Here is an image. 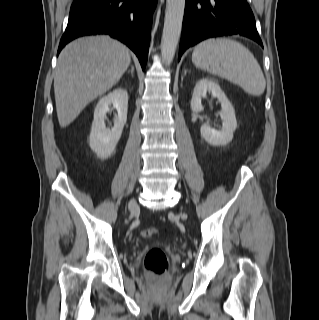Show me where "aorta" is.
Returning a JSON list of instances; mask_svg holds the SVG:
<instances>
[{
    "mask_svg": "<svg viewBox=\"0 0 319 320\" xmlns=\"http://www.w3.org/2000/svg\"><path fill=\"white\" fill-rule=\"evenodd\" d=\"M185 0H167L164 28L161 39V53L169 66L174 58L182 29Z\"/></svg>",
    "mask_w": 319,
    "mask_h": 320,
    "instance_id": "762f6f07",
    "label": "aorta"
}]
</instances>
